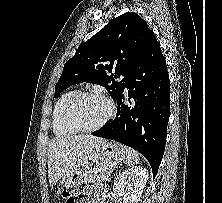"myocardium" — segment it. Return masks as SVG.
I'll return each instance as SVG.
<instances>
[{"instance_id":"1","label":"myocardium","mask_w":222,"mask_h":203,"mask_svg":"<svg viewBox=\"0 0 222 203\" xmlns=\"http://www.w3.org/2000/svg\"><path fill=\"white\" fill-rule=\"evenodd\" d=\"M84 97H98L101 98L102 100H104L107 105H108V113L107 115L104 117L103 120H101L99 123L93 125V126H89V127H85L80 125L73 117V109L76 105V103L84 98ZM115 115V106L113 101L106 96L105 94L101 93V92H96V91H84V92H77L66 104L65 108H64V112H63V119L65 124L75 130L76 132H93L96 131L100 128H102L103 126H105Z\"/></svg>"}]
</instances>
